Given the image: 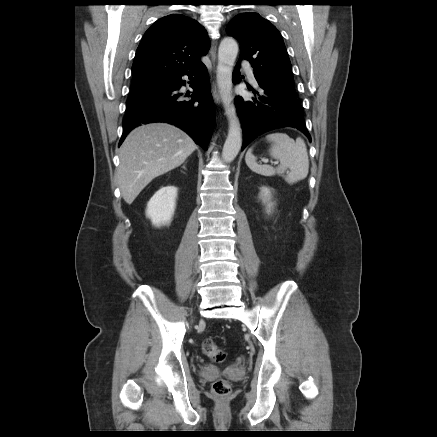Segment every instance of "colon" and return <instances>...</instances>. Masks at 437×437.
Instances as JSON below:
<instances>
[{
  "mask_svg": "<svg viewBox=\"0 0 437 437\" xmlns=\"http://www.w3.org/2000/svg\"><path fill=\"white\" fill-rule=\"evenodd\" d=\"M203 354L214 363H222L225 360L224 351L211 339H206L202 344ZM212 390L218 397H226L230 393V384L225 378L217 379Z\"/></svg>",
  "mask_w": 437,
  "mask_h": 437,
  "instance_id": "obj_1",
  "label": "colon"
}]
</instances>
